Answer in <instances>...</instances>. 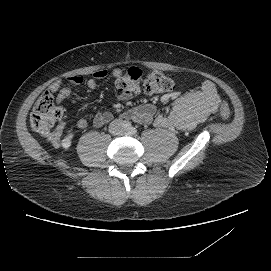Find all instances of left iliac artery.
Here are the masks:
<instances>
[{"instance_id": "1", "label": "left iliac artery", "mask_w": 271, "mask_h": 271, "mask_svg": "<svg viewBox=\"0 0 271 271\" xmlns=\"http://www.w3.org/2000/svg\"><path fill=\"white\" fill-rule=\"evenodd\" d=\"M136 133H137V129L134 128V127H130V129H129V134H130V135H135Z\"/></svg>"}]
</instances>
